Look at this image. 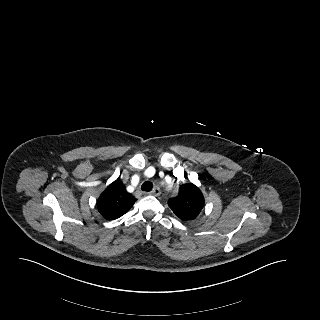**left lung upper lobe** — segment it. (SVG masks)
<instances>
[{
  "label": "left lung upper lobe",
  "instance_id": "obj_1",
  "mask_svg": "<svg viewBox=\"0 0 320 320\" xmlns=\"http://www.w3.org/2000/svg\"><path fill=\"white\" fill-rule=\"evenodd\" d=\"M168 205L178 218L188 221L199 215L204 207V197L194 184H183L178 195L171 198Z\"/></svg>",
  "mask_w": 320,
  "mask_h": 320
}]
</instances>
